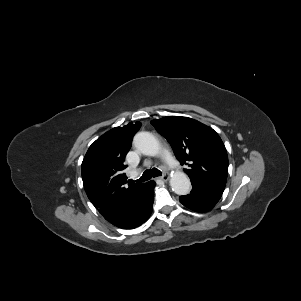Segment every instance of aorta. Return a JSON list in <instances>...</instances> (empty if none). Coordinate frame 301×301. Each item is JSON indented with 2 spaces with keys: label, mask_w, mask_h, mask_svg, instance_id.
Listing matches in <instances>:
<instances>
[{
  "label": "aorta",
  "mask_w": 301,
  "mask_h": 301,
  "mask_svg": "<svg viewBox=\"0 0 301 301\" xmlns=\"http://www.w3.org/2000/svg\"><path fill=\"white\" fill-rule=\"evenodd\" d=\"M133 144L142 154L155 156L160 151V144L155 136L149 132H139L134 136ZM172 190L178 195H187L191 190L188 176L181 171L175 172L170 179Z\"/></svg>",
  "instance_id": "obj_1"
}]
</instances>
